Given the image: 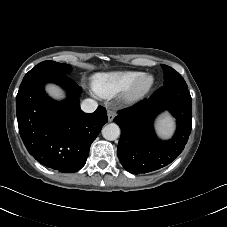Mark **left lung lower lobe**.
<instances>
[{"instance_id":"1","label":"left lung lower lobe","mask_w":227,"mask_h":227,"mask_svg":"<svg viewBox=\"0 0 227 227\" xmlns=\"http://www.w3.org/2000/svg\"><path fill=\"white\" fill-rule=\"evenodd\" d=\"M164 110L177 120L175 135L162 141L155 135L153 121ZM114 122L121 128L117 153L130 173H148L174 161L183 151L192 128V99L187 84L163 85L153 95L118 111Z\"/></svg>"}]
</instances>
